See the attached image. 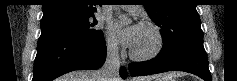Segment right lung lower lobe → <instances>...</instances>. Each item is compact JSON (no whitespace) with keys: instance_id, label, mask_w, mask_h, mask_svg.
Masks as SVG:
<instances>
[{"instance_id":"1","label":"right lung lower lobe","mask_w":237,"mask_h":81,"mask_svg":"<svg viewBox=\"0 0 237 81\" xmlns=\"http://www.w3.org/2000/svg\"><path fill=\"white\" fill-rule=\"evenodd\" d=\"M105 58L104 37L88 40L58 33H41L32 81H52L73 70L98 69ZM120 75L126 78L124 67L120 69Z\"/></svg>"}]
</instances>
